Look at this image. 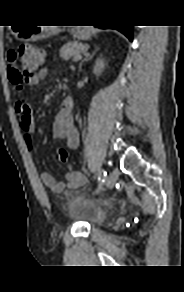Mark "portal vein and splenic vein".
Segmentation results:
<instances>
[{
    "label": "portal vein and splenic vein",
    "instance_id": "obj_1",
    "mask_svg": "<svg viewBox=\"0 0 184 292\" xmlns=\"http://www.w3.org/2000/svg\"><path fill=\"white\" fill-rule=\"evenodd\" d=\"M81 58V55H77V56H75L74 58H73V61H76V60H78V59H80Z\"/></svg>",
    "mask_w": 184,
    "mask_h": 292
}]
</instances>
